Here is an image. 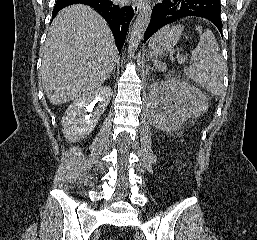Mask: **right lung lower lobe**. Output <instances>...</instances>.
<instances>
[{"label": "right lung lower lobe", "instance_id": "obj_1", "mask_svg": "<svg viewBox=\"0 0 257 240\" xmlns=\"http://www.w3.org/2000/svg\"><path fill=\"white\" fill-rule=\"evenodd\" d=\"M72 4H85L93 7L109 24L119 52L124 45L130 21L134 15L131 6H122L111 0H57L52 19L64 7Z\"/></svg>", "mask_w": 257, "mask_h": 240}]
</instances>
